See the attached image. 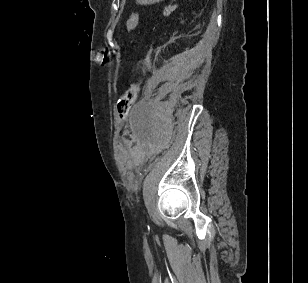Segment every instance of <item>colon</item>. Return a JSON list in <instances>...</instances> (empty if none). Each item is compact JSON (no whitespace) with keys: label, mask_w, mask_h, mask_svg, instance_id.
Masks as SVG:
<instances>
[{"label":"colon","mask_w":308,"mask_h":283,"mask_svg":"<svg viewBox=\"0 0 308 283\" xmlns=\"http://www.w3.org/2000/svg\"><path fill=\"white\" fill-rule=\"evenodd\" d=\"M139 14L133 13L126 22V30L128 32L133 31L138 22ZM139 93V84L133 83L130 87L123 92L117 101V114L120 120H123L131 109L132 105L136 101Z\"/></svg>","instance_id":"1"}]
</instances>
